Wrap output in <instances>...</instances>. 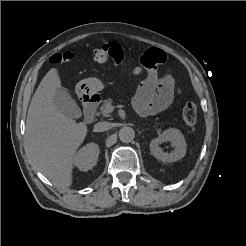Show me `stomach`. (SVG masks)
Here are the masks:
<instances>
[{
    "mask_svg": "<svg viewBox=\"0 0 246 246\" xmlns=\"http://www.w3.org/2000/svg\"><path fill=\"white\" fill-rule=\"evenodd\" d=\"M104 88L102 81L97 78H87L81 80L77 86L76 91L81 96H92Z\"/></svg>",
    "mask_w": 246,
    "mask_h": 246,
    "instance_id": "0dacf381",
    "label": "stomach"
}]
</instances>
